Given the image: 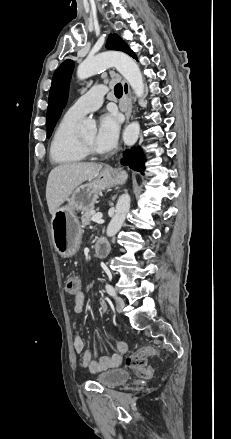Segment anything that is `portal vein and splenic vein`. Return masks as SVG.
Returning <instances> with one entry per match:
<instances>
[{
	"mask_svg": "<svg viewBox=\"0 0 231 439\" xmlns=\"http://www.w3.org/2000/svg\"><path fill=\"white\" fill-rule=\"evenodd\" d=\"M102 216H103V215H102L101 213L94 214V215L92 216V219H91V220H92L93 222H97V223H98V222L101 221Z\"/></svg>",
	"mask_w": 231,
	"mask_h": 439,
	"instance_id": "portal-vein-and-splenic-vein-1",
	"label": "portal vein and splenic vein"
}]
</instances>
